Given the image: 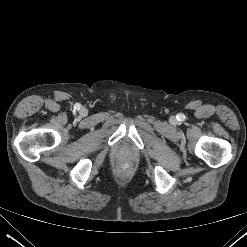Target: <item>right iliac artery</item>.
Instances as JSON below:
<instances>
[{
	"instance_id": "82829eb1",
	"label": "right iliac artery",
	"mask_w": 247,
	"mask_h": 247,
	"mask_svg": "<svg viewBox=\"0 0 247 247\" xmlns=\"http://www.w3.org/2000/svg\"><path fill=\"white\" fill-rule=\"evenodd\" d=\"M74 109H78L79 110L80 109V104H76Z\"/></svg>"
}]
</instances>
